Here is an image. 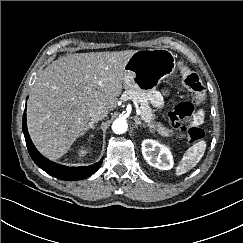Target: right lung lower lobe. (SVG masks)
Segmentation results:
<instances>
[{
    "label": "right lung lower lobe",
    "mask_w": 243,
    "mask_h": 243,
    "mask_svg": "<svg viewBox=\"0 0 243 243\" xmlns=\"http://www.w3.org/2000/svg\"><path fill=\"white\" fill-rule=\"evenodd\" d=\"M23 133L26 140V145L29 151V154L33 161L36 163L38 167L43 169L45 172L50 174L53 177L63 179V180H80L84 179L91 174L95 173L99 167L101 166L102 160L98 163L91 165V166H84V167H67L52 161H49L45 157H43L33 145L28 130H27V123H26V108L23 114Z\"/></svg>",
    "instance_id": "1"
}]
</instances>
